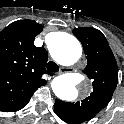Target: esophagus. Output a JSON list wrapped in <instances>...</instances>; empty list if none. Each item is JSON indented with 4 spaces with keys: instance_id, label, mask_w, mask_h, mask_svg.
I'll list each match as a JSON object with an SVG mask.
<instances>
[{
    "instance_id": "esophagus-1",
    "label": "esophagus",
    "mask_w": 124,
    "mask_h": 124,
    "mask_svg": "<svg viewBox=\"0 0 124 124\" xmlns=\"http://www.w3.org/2000/svg\"><path fill=\"white\" fill-rule=\"evenodd\" d=\"M75 69L73 67H61L60 68V74L62 73H68V72H74Z\"/></svg>"
}]
</instances>
